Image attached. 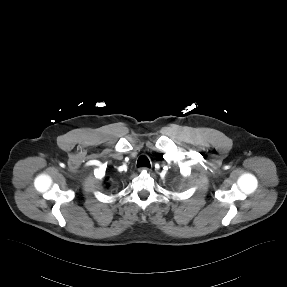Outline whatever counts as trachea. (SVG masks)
Returning a JSON list of instances; mask_svg holds the SVG:
<instances>
[{
	"mask_svg": "<svg viewBox=\"0 0 287 287\" xmlns=\"http://www.w3.org/2000/svg\"><path fill=\"white\" fill-rule=\"evenodd\" d=\"M143 166L149 167V168L151 167L148 158L145 156L139 157V159L137 161V167H143Z\"/></svg>",
	"mask_w": 287,
	"mask_h": 287,
	"instance_id": "1",
	"label": "trachea"
}]
</instances>
